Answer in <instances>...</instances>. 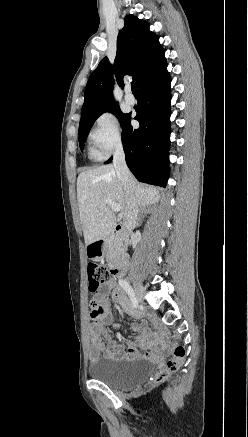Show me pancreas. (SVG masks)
Returning <instances> with one entry per match:
<instances>
[{
	"instance_id": "cf45deb5",
	"label": "pancreas",
	"mask_w": 248,
	"mask_h": 437,
	"mask_svg": "<svg viewBox=\"0 0 248 437\" xmlns=\"http://www.w3.org/2000/svg\"><path fill=\"white\" fill-rule=\"evenodd\" d=\"M107 246H108V251L110 253V256H113V255L116 256L124 249L122 239L117 237V236H113L108 241Z\"/></svg>"
}]
</instances>
